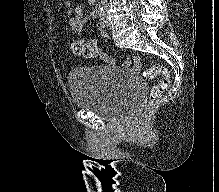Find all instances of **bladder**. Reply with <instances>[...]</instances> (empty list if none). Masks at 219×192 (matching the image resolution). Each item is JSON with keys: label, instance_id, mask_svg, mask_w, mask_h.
I'll return each instance as SVG.
<instances>
[{"label": "bladder", "instance_id": "obj_1", "mask_svg": "<svg viewBox=\"0 0 219 192\" xmlns=\"http://www.w3.org/2000/svg\"><path fill=\"white\" fill-rule=\"evenodd\" d=\"M68 82L75 107L108 122L133 117L145 95L144 87L129 71L111 64L76 68L69 73Z\"/></svg>", "mask_w": 219, "mask_h": 192}]
</instances>
